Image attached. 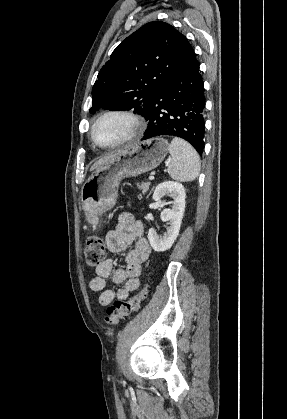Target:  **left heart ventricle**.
<instances>
[{
    "instance_id": "obj_1",
    "label": "left heart ventricle",
    "mask_w": 287,
    "mask_h": 419,
    "mask_svg": "<svg viewBox=\"0 0 287 419\" xmlns=\"http://www.w3.org/2000/svg\"><path fill=\"white\" fill-rule=\"evenodd\" d=\"M132 132L131 123L119 116L103 119L95 128V138L102 144H112L127 137Z\"/></svg>"
}]
</instances>
